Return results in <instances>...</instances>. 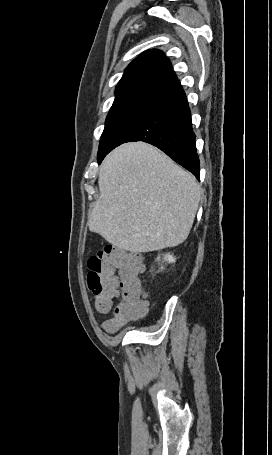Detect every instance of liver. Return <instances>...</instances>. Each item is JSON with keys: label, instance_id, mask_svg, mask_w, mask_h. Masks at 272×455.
<instances>
[{"label": "liver", "instance_id": "1", "mask_svg": "<svg viewBox=\"0 0 272 455\" xmlns=\"http://www.w3.org/2000/svg\"><path fill=\"white\" fill-rule=\"evenodd\" d=\"M88 225L118 248L150 252L181 244L200 201L195 177L155 147L126 143L103 161Z\"/></svg>", "mask_w": 272, "mask_h": 455}]
</instances>
